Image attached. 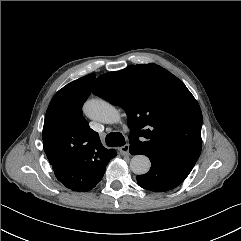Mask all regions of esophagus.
Wrapping results in <instances>:
<instances>
[{
  "label": "esophagus",
  "mask_w": 241,
  "mask_h": 241,
  "mask_svg": "<svg viewBox=\"0 0 241 241\" xmlns=\"http://www.w3.org/2000/svg\"><path fill=\"white\" fill-rule=\"evenodd\" d=\"M129 148H130L129 144H125L124 146H122V147L120 148L121 154H123V155H129Z\"/></svg>",
  "instance_id": "esophagus-1"
}]
</instances>
